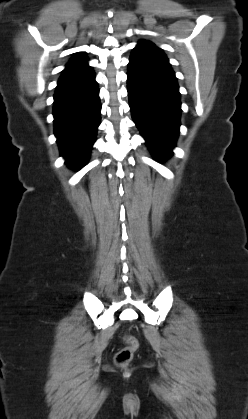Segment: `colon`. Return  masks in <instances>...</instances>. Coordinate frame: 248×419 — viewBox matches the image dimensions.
Returning a JSON list of instances; mask_svg holds the SVG:
<instances>
[{
  "label": "colon",
  "mask_w": 248,
  "mask_h": 419,
  "mask_svg": "<svg viewBox=\"0 0 248 419\" xmlns=\"http://www.w3.org/2000/svg\"><path fill=\"white\" fill-rule=\"evenodd\" d=\"M124 341L125 346L118 350L114 357L116 365L120 367L128 365L139 348L138 340L132 335H126Z\"/></svg>",
  "instance_id": "5ec220e1"
}]
</instances>
